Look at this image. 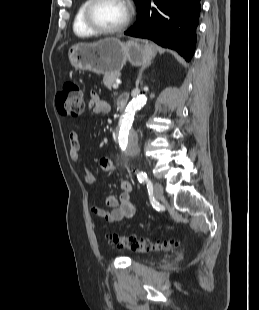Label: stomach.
Wrapping results in <instances>:
<instances>
[{
	"label": "stomach",
	"instance_id": "stomach-1",
	"mask_svg": "<svg viewBox=\"0 0 259 310\" xmlns=\"http://www.w3.org/2000/svg\"><path fill=\"white\" fill-rule=\"evenodd\" d=\"M156 53V48L149 43H124L117 38H105L95 43L71 46L68 57L76 69L97 74H119L127 61L133 66H146Z\"/></svg>",
	"mask_w": 259,
	"mask_h": 310
}]
</instances>
